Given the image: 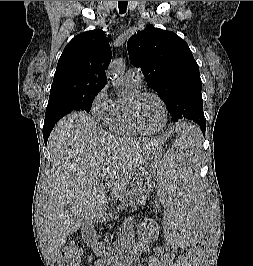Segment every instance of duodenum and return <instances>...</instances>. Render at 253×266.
I'll use <instances>...</instances> for the list:
<instances>
[{
    "label": "duodenum",
    "mask_w": 253,
    "mask_h": 266,
    "mask_svg": "<svg viewBox=\"0 0 253 266\" xmlns=\"http://www.w3.org/2000/svg\"><path fill=\"white\" fill-rule=\"evenodd\" d=\"M91 239V238H90ZM106 266H114L115 262L110 259H104Z\"/></svg>",
    "instance_id": "duodenum-1"
}]
</instances>
